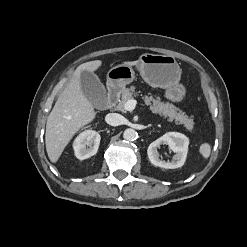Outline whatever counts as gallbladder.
<instances>
[{
    "label": "gallbladder",
    "instance_id": "obj_1",
    "mask_svg": "<svg viewBox=\"0 0 247 247\" xmlns=\"http://www.w3.org/2000/svg\"><path fill=\"white\" fill-rule=\"evenodd\" d=\"M81 89L85 97L97 109H102L106 103V89L98 76L89 71L80 75Z\"/></svg>",
    "mask_w": 247,
    "mask_h": 247
}]
</instances>
